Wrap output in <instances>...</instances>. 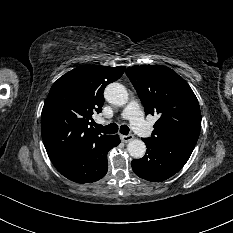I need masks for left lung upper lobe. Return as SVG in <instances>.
<instances>
[{"label": "left lung upper lobe", "mask_w": 233, "mask_h": 233, "mask_svg": "<svg viewBox=\"0 0 233 233\" xmlns=\"http://www.w3.org/2000/svg\"><path fill=\"white\" fill-rule=\"evenodd\" d=\"M126 74L147 114H158L153 143L194 149L201 129L198 100L188 83L172 69L161 65L128 67Z\"/></svg>", "instance_id": "obj_1"}]
</instances>
